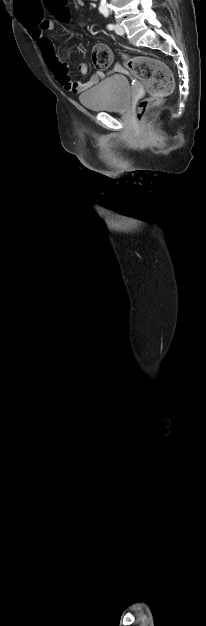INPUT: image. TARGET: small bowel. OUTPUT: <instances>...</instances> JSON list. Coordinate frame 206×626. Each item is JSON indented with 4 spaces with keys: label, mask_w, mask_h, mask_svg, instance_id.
<instances>
[{
    "label": "small bowel",
    "mask_w": 206,
    "mask_h": 626,
    "mask_svg": "<svg viewBox=\"0 0 206 626\" xmlns=\"http://www.w3.org/2000/svg\"><path fill=\"white\" fill-rule=\"evenodd\" d=\"M76 5L83 6L84 1L76 0ZM27 27L29 28L31 38L37 43L43 59L52 71L56 81L65 90L74 94H81L104 78V73L100 71L93 74L87 82L74 81L71 78L68 72V64L57 57L53 42L44 34L45 31L53 29V22L51 20L41 19L36 24H27ZM116 69H121V66H116ZM78 70L81 75L88 73V67L85 63H80Z\"/></svg>",
    "instance_id": "c3829d8e"
}]
</instances>
